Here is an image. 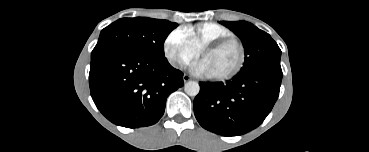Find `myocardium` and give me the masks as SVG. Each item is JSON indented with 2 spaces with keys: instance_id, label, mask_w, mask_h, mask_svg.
Returning <instances> with one entry per match:
<instances>
[{
  "instance_id": "1",
  "label": "myocardium",
  "mask_w": 369,
  "mask_h": 152,
  "mask_svg": "<svg viewBox=\"0 0 369 152\" xmlns=\"http://www.w3.org/2000/svg\"><path fill=\"white\" fill-rule=\"evenodd\" d=\"M233 43L235 44L238 49H239V60L237 65L235 66V68L233 70H231L230 72L223 74V75H219V76H209L210 79L214 80V81H227L230 80L232 78H234L235 76H237L240 71L242 70V68L244 67L245 61H246V50L245 47L243 45V43L232 36L229 37H224V38H220L214 41H211L209 43H207L206 45H204L200 51H199V56L201 57L205 52L208 51H214L217 50L227 44Z\"/></svg>"
}]
</instances>
